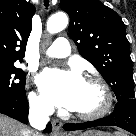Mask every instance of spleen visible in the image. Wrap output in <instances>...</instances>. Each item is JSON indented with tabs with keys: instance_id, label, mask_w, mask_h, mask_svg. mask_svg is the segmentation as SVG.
Returning <instances> with one entry per match:
<instances>
[{
	"instance_id": "3e777b00",
	"label": "spleen",
	"mask_w": 136,
	"mask_h": 136,
	"mask_svg": "<svg viewBox=\"0 0 136 136\" xmlns=\"http://www.w3.org/2000/svg\"><path fill=\"white\" fill-rule=\"evenodd\" d=\"M116 136H122L121 134H116Z\"/></svg>"
}]
</instances>
